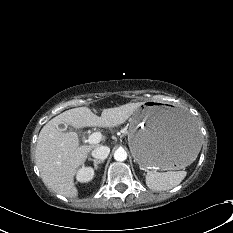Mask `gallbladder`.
Returning a JSON list of instances; mask_svg holds the SVG:
<instances>
[{
	"label": "gallbladder",
	"mask_w": 233,
	"mask_h": 233,
	"mask_svg": "<svg viewBox=\"0 0 233 233\" xmlns=\"http://www.w3.org/2000/svg\"><path fill=\"white\" fill-rule=\"evenodd\" d=\"M58 127L61 130H65L67 128V125L66 124H60Z\"/></svg>",
	"instance_id": "obj_1"
}]
</instances>
